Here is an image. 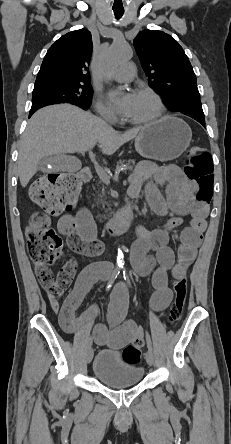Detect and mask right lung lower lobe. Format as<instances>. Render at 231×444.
<instances>
[{"label": "right lung lower lobe", "instance_id": "98d812e1", "mask_svg": "<svg viewBox=\"0 0 231 444\" xmlns=\"http://www.w3.org/2000/svg\"><path fill=\"white\" fill-rule=\"evenodd\" d=\"M39 108H34V109H31L30 110V113H29V117L36 111V110H38Z\"/></svg>", "mask_w": 231, "mask_h": 444}]
</instances>
